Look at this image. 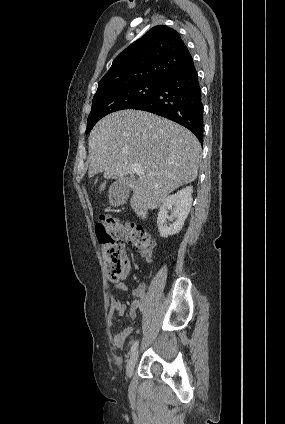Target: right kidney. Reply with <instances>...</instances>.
Masks as SVG:
<instances>
[{"label": "right kidney", "mask_w": 285, "mask_h": 424, "mask_svg": "<svg viewBox=\"0 0 285 424\" xmlns=\"http://www.w3.org/2000/svg\"><path fill=\"white\" fill-rule=\"evenodd\" d=\"M192 192V186H187L163 200L157 217V225L161 237L168 238V236L181 231L192 206ZM169 210H171L170 216L168 215ZM174 218L176 219L175 222L167 225V219L173 221Z\"/></svg>", "instance_id": "right-kidney-1"}]
</instances>
